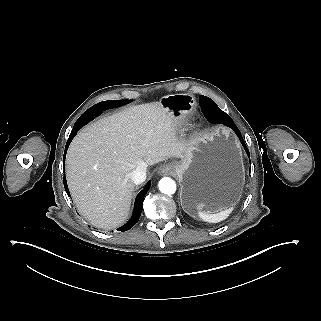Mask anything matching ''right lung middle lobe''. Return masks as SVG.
Instances as JSON below:
<instances>
[{
    "mask_svg": "<svg viewBox=\"0 0 321 321\" xmlns=\"http://www.w3.org/2000/svg\"><path fill=\"white\" fill-rule=\"evenodd\" d=\"M131 101L132 100H110V101L100 102L99 106L106 105V104H114V103H129Z\"/></svg>",
    "mask_w": 321,
    "mask_h": 321,
    "instance_id": "obj_1",
    "label": "right lung middle lobe"
}]
</instances>
